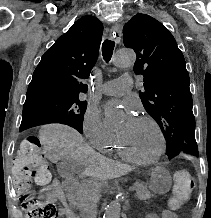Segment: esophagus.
<instances>
[{
    "instance_id": "34e87169",
    "label": "esophagus",
    "mask_w": 211,
    "mask_h": 218,
    "mask_svg": "<svg viewBox=\"0 0 211 218\" xmlns=\"http://www.w3.org/2000/svg\"><path fill=\"white\" fill-rule=\"evenodd\" d=\"M110 36L115 40L116 43L121 41L122 30L118 25H114L110 29Z\"/></svg>"
}]
</instances>
